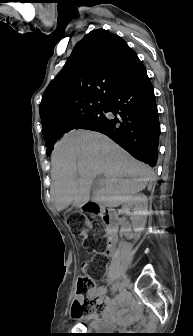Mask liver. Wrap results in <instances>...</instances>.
<instances>
[{
	"mask_svg": "<svg viewBox=\"0 0 193 336\" xmlns=\"http://www.w3.org/2000/svg\"><path fill=\"white\" fill-rule=\"evenodd\" d=\"M51 177L57 211L69 205L81 208L90 200L98 175L105 180L93 190L91 200L106 207H117L128 197L145 189L154 172L133 158L107 136L76 131L55 146L51 156Z\"/></svg>",
	"mask_w": 193,
	"mask_h": 336,
	"instance_id": "1",
	"label": "liver"
}]
</instances>
